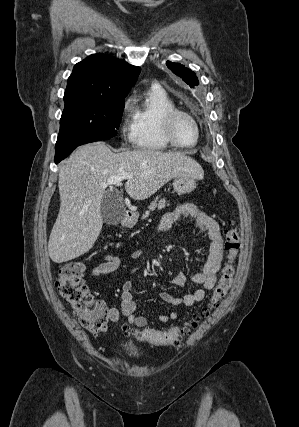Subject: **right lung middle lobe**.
Here are the masks:
<instances>
[{
  "mask_svg": "<svg viewBox=\"0 0 299 427\" xmlns=\"http://www.w3.org/2000/svg\"><path fill=\"white\" fill-rule=\"evenodd\" d=\"M125 96H79L64 100L55 150L82 141L113 137L119 128Z\"/></svg>",
  "mask_w": 299,
  "mask_h": 427,
  "instance_id": "dd1d6c3e",
  "label": "right lung middle lobe"
}]
</instances>
